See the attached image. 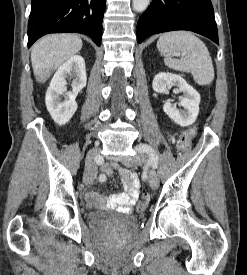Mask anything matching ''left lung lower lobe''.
Wrapping results in <instances>:
<instances>
[{"label": "left lung lower lobe", "instance_id": "1", "mask_svg": "<svg viewBox=\"0 0 247 275\" xmlns=\"http://www.w3.org/2000/svg\"><path fill=\"white\" fill-rule=\"evenodd\" d=\"M173 30H189L218 44L211 0H152L137 24V42Z\"/></svg>", "mask_w": 247, "mask_h": 275}]
</instances>
